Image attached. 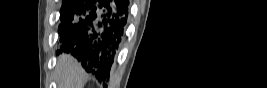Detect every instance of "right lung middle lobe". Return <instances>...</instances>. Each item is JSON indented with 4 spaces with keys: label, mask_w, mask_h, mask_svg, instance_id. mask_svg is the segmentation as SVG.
<instances>
[{
    "label": "right lung middle lobe",
    "mask_w": 267,
    "mask_h": 88,
    "mask_svg": "<svg viewBox=\"0 0 267 88\" xmlns=\"http://www.w3.org/2000/svg\"><path fill=\"white\" fill-rule=\"evenodd\" d=\"M71 4L70 0H63V6H69Z\"/></svg>",
    "instance_id": "right-lung-middle-lobe-1"
}]
</instances>
